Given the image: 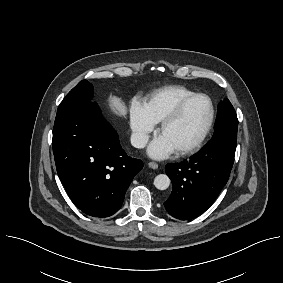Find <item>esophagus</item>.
I'll list each match as a JSON object with an SVG mask.
<instances>
[{"label": "esophagus", "instance_id": "esophagus-1", "mask_svg": "<svg viewBox=\"0 0 283 283\" xmlns=\"http://www.w3.org/2000/svg\"><path fill=\"white\" fill-rule=\"evenodd\" d=\"M148 166L151 168V169H157L158 168V164L155 163V162H149L148 163Z\"/></svg>", "mask_w": 283, "mask_h": 283}]
</instances>
